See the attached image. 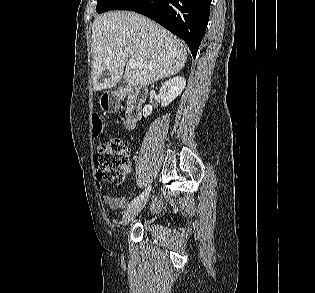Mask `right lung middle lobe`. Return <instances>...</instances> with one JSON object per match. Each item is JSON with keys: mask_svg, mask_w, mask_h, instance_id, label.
<instances>
[{"mask_svg": "<svg viewBox=\"0 0 315 293\" xmlns=\"http://www.w3.org/2000/svg\"><path fill=\"white\" fill-rule=\"evenodd\" d=\"M119 0H97L96 12L109 11Z\"/></svg>", "mask_w": 315, "mask_h": 293, "instance_id": "dd1d6c3e", "label": "right lung middle lobe"}]
</instances>
